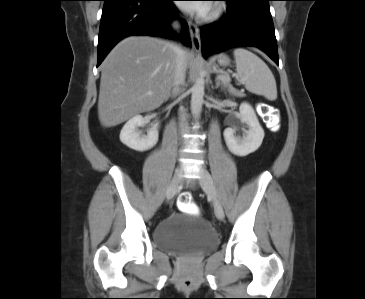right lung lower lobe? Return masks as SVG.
Returning a JSON list of instances; mask_svg holds the SVG:
<instances>
[{"label":"right lung lower lobe","instance_id":"98d812e1","mask_svg":"<svg viewBox=\"0 0 365 299\" xmlns=\"http://www.w3.org/2000/svg\"><path fill=\"white\" fill-rule=\"evenodd\" d=\"M98 39L99 66L110 50L123 38L131 35H149L174 39L170 27L178 18L173 0H103ZM183 44L191 46L188 25L182 21Z\"/></svg>","mask_w":365,"mask_h":299}]
</instances>
